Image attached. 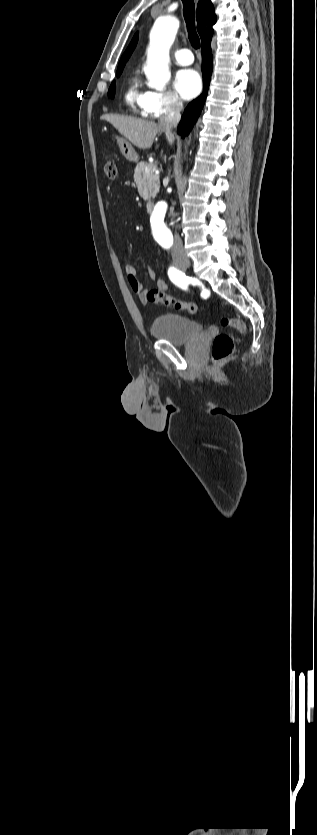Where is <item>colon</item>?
I'll use <instances>...</instances> for the list:
<instances>
[{
  "mask_svg": "<svg viewBox=\"0 0 317 835\" xmlns=\"http://www.w3.org/2000/svg\"><path fill=\"white\" fill-rule=\"evenodd\" d=\"M104 173L109 179H115L117 176V168L116 164L112 160H106L104 162ZM146 299L153 304L156 305H164L173 307L175 309L187 311L190 314H195L197 312L196 305L188 302H183L175 297L167 295L164 291L160 289H151L146 293ZM220 323L223 327H233L238 330L240 333H244L246 330V326L243 321L233 318L224 316L220 319ZM234 352V341L232 337L228 334H219L217 335L212 344L211 349V356L213 361L220 362L224 359L230 357Z\"/></svg>",
  "mask_w": 317,
  "mask_h": 835,
  "instance_id": "obj_1",
  "label": "colon"
}]
</instances>
